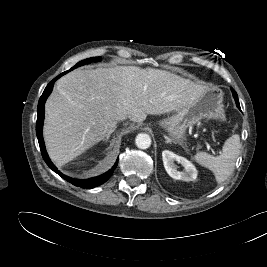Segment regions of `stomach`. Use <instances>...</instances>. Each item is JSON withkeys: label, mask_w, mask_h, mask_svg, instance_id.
Here are the masks:
<instances>
[{"label": "stomach", "mask_w": 267, "mask_h": 267, "mask_svg": "<svg viewBox=\"0 0 267 267\" xmlns=\"http://www.w3.org/2000/svg\"><path fill=\"white\" fill-rule=\"evenodd\" d=\"M226 120L223 107V93L220 90H207L195 102L174 112L170 117L159 121L161 126L176 143H187V130L201 119Z\"/></svg>", "instance_id": "stomach-1"}]
</instances>
